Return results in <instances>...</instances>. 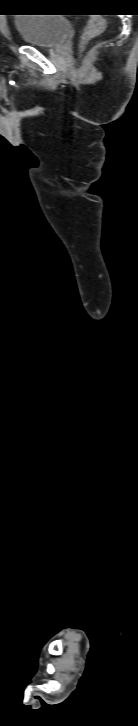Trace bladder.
Listing matches in <instances>:
<instances>
[{
	"instance_id": "1",
	"label": "bladder",
	"mask_w": 138,
	"mask_h": 726,
	"mask_svg": "<svg viewBox=\"0 0 138 726\" xmlns=\"http://www.w3.org/2000/svg\"><path fill=\"white\" fill-rule=\"evenodd\" d=\"M14 26L28 45L53 48L65 40L70 21L62 14H23L15 19Z\"/></svg>"
}]
</instances>
